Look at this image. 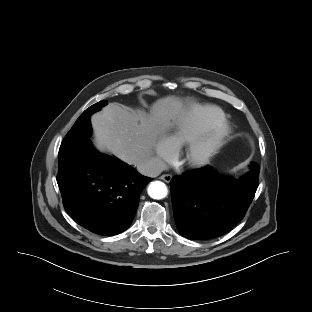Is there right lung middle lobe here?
Returning a JSON list of instances; mask_svg holds the SVG:
<instances>
[{
  "instance_id": "dd1d6c3e",
  "label": "right lung middle lobe",
  "mask_w": 312,
  "mask_h": 312,
  "mask_svg": "<svg viewBox=\"0 0 312 312\" xmlns=\"http://www.w3.org/2000/svg\"><path fill=\"white\" fill-rule=\"evenodd\" d=\"M107 101L102 100L87 108L77 119L71 130L64 138L58 154L59 169L66 168L80 153V149L89 142L91 132L90 116L99 111Z\"/></svg>"
}]
</instances>
